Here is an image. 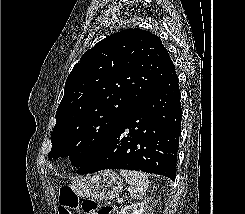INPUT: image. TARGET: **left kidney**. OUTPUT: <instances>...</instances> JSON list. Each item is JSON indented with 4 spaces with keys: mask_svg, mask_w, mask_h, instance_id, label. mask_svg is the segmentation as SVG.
Returning a JSON list of instances; mask_svg holds the SVG:
<instances>
[{
    "mask_svg": "<svg viewBox=\"0 0 245 214\" xmlns=\"http://www.w3.org/2000/svg\"><path fill=\"white\" fill-rule=\"evenodd\" d=\"M146 202L132 203L120 210L118 214H144Z\"/></svg>",
    "mask_w": 245,
    "mask_h": 214,
    "instance_id": "left-kidney-1",
    "label": "left kidney"
}]
</instances>
